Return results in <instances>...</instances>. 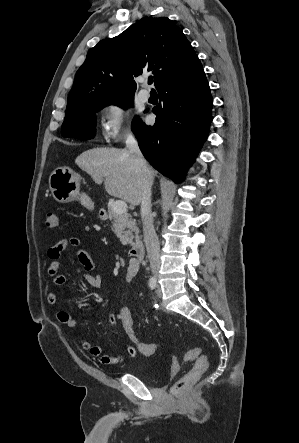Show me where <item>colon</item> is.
<instances>
[{
	"instance_id": "colon-1",
	"label": "colon",
	"mask_w": 299,
	"mask_h": 443,
	"mask_svg": "<svg viewBox=\"0 0 299 443\" xmlns=\"http://www.w3.org/2000/svg\"><path fill=\"white\" fill-rule=\"evenodd\" d=\"M45 225L47 228H57L59 226L58 214L49 210L45 214ZM119 322L126 332L128 338L137 350L145 356H154L159 352V347L154 343H149L142 340L136 331L135 319L128 307H122L118 312ZM185 361H193V367L178 381H176L172 387L171 392L178 394L186 389L189 385L195 382L207 369L208 363L206 357L203 355L200 348H194L186 352L184 355ZM179 361L177 358H171V370L173 373L179 370Z\"/></svg>"
}]
</instances>
